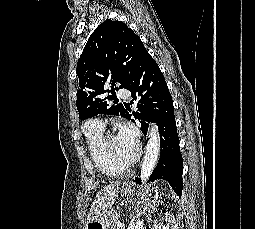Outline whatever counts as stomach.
<instances>
[{
	"instance_id": "1",
	"label": "stomach",
	"mask_w": 255,
	"mask_h": 229,
	"mask_svg": "<svg viewBox=\"0 0 255 229\" xmlns=\"http://www.w3.org/2000/svg\"><path fill=\"white\" fill-rule=\"evenodd\" d=\"M134 191V188L129 184H124L121 189L123 195H132ZM117 219V212L110 208L98 218L87 222L85 229H112Z\"/></svg>"
}]
</instances>
